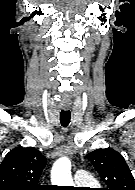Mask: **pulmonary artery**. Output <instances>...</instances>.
<instances>
[{
	"mask_svg": "<svg viewBox=\"0 0 135 190\" xmlns=\"http://www.w3.org/2000/svg\"><path fill=\"white\" fill-rule=\"evenodd\" d=\"M75 183L79 186H88L94 183L91 175L85 170H78L74 174Z\"/></svg>",
	"mask_w": 135,
	"mask_h": 190,
	"instance_id": "1",
	"label": "pulmonary artery"
}]
</instances>
